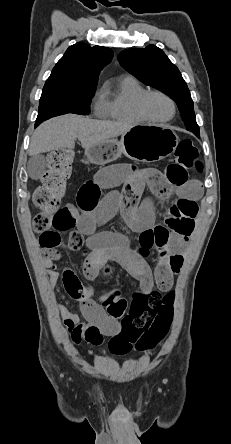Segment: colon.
<instances>
[{"label": "colon", "instance_id": "1", "mask_svg": "<svg viewBox=\"0 0 231 444\" xmlns=\"http://www.w3.org/2000/svg\"><path fill=\"white\" fill-rule=\"evenodd\" d=\"M71 152L58 151L48 156V168L41 184L34 192L33 201L41 209L33 221L35 231L41 233L40 243L50 244L49 234H59L75 226V218L67 208H60V202L70 173ZM202 170L197 149L189 140L181 141L174 159L167 165L165 176L177 188L188 183L190 172ZM198 213L197 204L190 200H178L171 209L167 226H158L155 233L163 236L168 230L188 237L194 229V218ZM62 283L66 292L73 298L84 294V287L78 276L66 267L62 274ZM174 295L164 296L155 289L147 296L139 295L130 305L128 312L121 319V330L109 341V351L116 356H123L132 348L148 351L155 348L167 335L173 309Z\"/></svg>", "mask_w": 231, "mask_h": 444}]
</instances>
